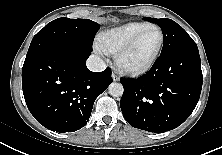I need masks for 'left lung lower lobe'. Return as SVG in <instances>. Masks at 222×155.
<instances>
[{
    "label": "left lung lower lobe",
    "instance_id": "left-lung-lower-lobe-1",
    "mask_svg": "<svg viewBox=\"0 0 222 155\" xmlns=\"http://www.w3.org/2000/svg\"><path fill=\"white\" fill-rule=\"evenodd\" d=\"M120 101L126 121L135 128L160 133L181 125L196 107L203 82L197 49L161 54L137 79H121Z\"/></svg>",
    "mask_w": 222,
    "mask_h": 155
}]
</instances>
